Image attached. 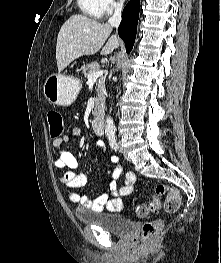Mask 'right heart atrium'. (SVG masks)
Masks as SVG:
<instances>
[{
	"instance_id": "obj_1",
	"label": "right heart atrium",
	"mask_w": 221,
	"mask_h": 263,
	"mask_svg": "<svg viewBox=\"0 0 221 263\" xmlns=\"http://www.w3.org/2000/svg\"><path fill=\"white\" fill-rule=\"evenodd\" d=\"M103 14H111L121 7L122 0H99Z\"/></svg>"
}]
</instances>
